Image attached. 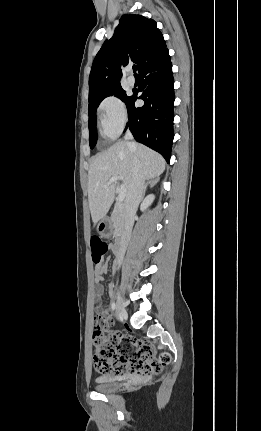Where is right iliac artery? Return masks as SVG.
Segmentation results:
<instances>
[{
    "instance_id": "right-iliac-artery-1",
    "label": "right iliac artery",
    "mask_w": 261,
    "mask_h": 431,
    "mask_svg": "<svg viewBox=\"0 0 261 431\" xmlns=\"http://www.w3.org/2000/svg\"><path fill=\"white\" fill-rule=\"evenodd\" d=\"M111 308H112V310H113V311L116 309V304H115V302H112V304H111Z\"/></svg>"
}]
</instances>
